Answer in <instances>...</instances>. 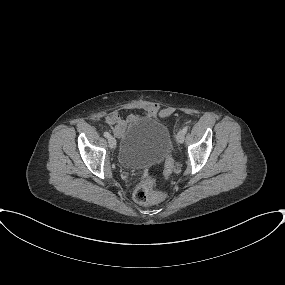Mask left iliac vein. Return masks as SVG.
I'll use <instances>...</instances> for the list:
<instances>
[{
  "instance_id": "left-iliac-vein-1",
  "label": "left iliac vein",
  "mask_w": 285,
  "mask_h": 285,
  "mask_svg": "<svg viewBox=\"0 0 285 285\" xmlns=\"http://www.w3.org/2000/svg\"><path fill=\"white\" fill-rule=\"evenodd\" d=\"M185 138V133L181 130L177 133L176 139L179 143H183Z\"/></svg>"
}]
</instances>
